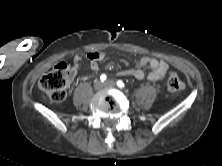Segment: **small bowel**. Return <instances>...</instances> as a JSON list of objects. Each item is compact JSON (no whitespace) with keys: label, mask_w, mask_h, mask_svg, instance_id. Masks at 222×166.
I'll return each instance as SVG.
<instances>
[{"label":"small bowel","mask_w":222,"mask_h":166,"mask_svg":"<svg viewBox=\"0 0 222 166\" xmlns=\"http://www.w3.org/2000/svg\"><path fill=\"white\" fill-rule=\"evenodd\" d=\"M89 61L91 70L98 71L99 63L104 60L105 53L101 51H92L86 55ZM81 56L76 55L73 62V74L76 73L79 63L81 62ZM134 67L130 69H124L119 72L121 76H132L138 80L145 78V67L150 68V72L147 75V79L152 82L162 81L168 72L169 65L166 61L157 57L144 56L134 61Z\"/></svg>","instance_id":"c3829d8e"}]
</instances>
